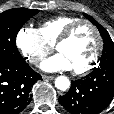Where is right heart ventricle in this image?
I'll return each mask as SVG.
<instances>
[{
    "label": "right heart ventricle",
    "instance_id": "e07e8e85",
    "mask_svg": "<svg viewBox=\"0 0 114 114\" xmlns=\"http://www.w3.org/2000/svg\"><path fill=\"white\" fill-rule=\"evenodd\" d=\"M78 20L76 16L60 15L43 21L37 30L47 43L54 45L63 31Z\"/></svg>",
    "mask_w": 114,
    "mask_h": 114
}]
</instances>
